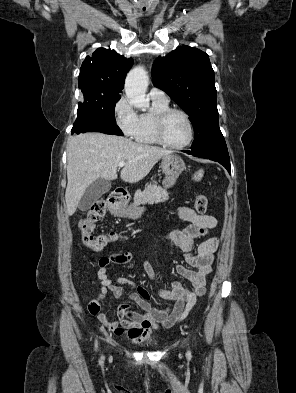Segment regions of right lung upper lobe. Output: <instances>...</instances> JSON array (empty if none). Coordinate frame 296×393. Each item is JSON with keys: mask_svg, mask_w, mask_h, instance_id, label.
I'll return each instance as SVG.
<instances>
[{"mask_svg": "<svg viewBox=\"0 0 296 393\" xmlns=\"http://www.w3.org/2000/svg\"><path fill=\"white\" fill-rule=\"evenodd\" d=\"M132 65V58L127 59L111 49L98 48L82 63L79 88L85 97L120 95Z\"/></svg>", "mask_w": 296, "mask_h": 393, "instance_id": "cb5924a9", "label": "right lung upper lobe"}]
</instances>
